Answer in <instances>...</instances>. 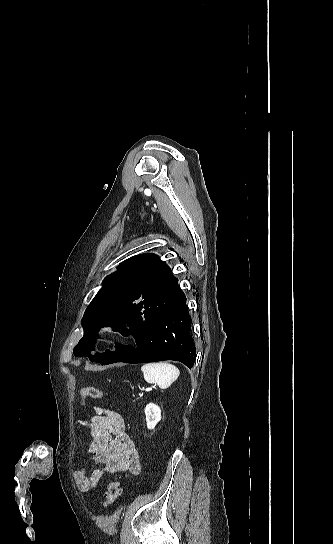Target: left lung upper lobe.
Wrapping results in <instances>:
<instances>
[{
	"mask_svg": "<svg viewBox=\"0 0 333 544\" xmlns=\"http://www.w3.org/2000/svg\"><path fill=\"white\" fill-rule=\"evenodd\" d=\"M177 279L169 267L153 254H142L125 260L120 270L107 276L87 307L82 325L84 336L75 346V356H88L97 361L100 354L93 349V334L103 323L114 320L129 324L156 319L182 295Z\"/></svg>",
	"mask_w": 333,
	"mask_h": 544,
	"instance_id": "obj_1",
	"label": "left lung upper lobe"
}]
</instances>
